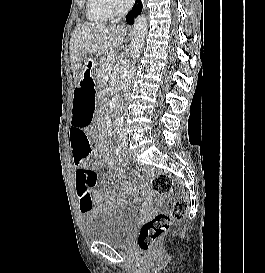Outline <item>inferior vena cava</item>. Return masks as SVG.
Masks as SVG:
<instances>
[{
    "label": "inferior vena cava",
    "mask_w": 265,
    "mask_h": 273,
    "mask_svg": "<svg viewBox=\"0 0 265 273\" xmlns=\"http://www.w3.org/2000/svg\"><path fill=\"white\" fill-rule=\"evenodd\" d=\"M132 4H133V0H124L123 4L121 5V11H120L119 17L113 22L120 20L121 17L127 13V11L130 9Z\"/></svg>",
    "instance_id": "602c4592"
}]
</instances>
